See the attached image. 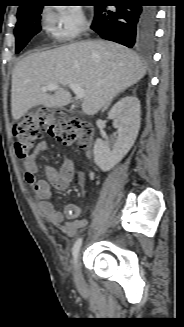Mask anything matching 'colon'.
Masks as SVG:
<instances>
[{"mask_svg":"<svg viewBox=\"0 0 184 327\" xmlns=\"http://www.w3.org/2000/svg\"><path fill=\"white\" fill-rule=\"evenodd\" d=\"M93 126L64 111L40 109L27 113L12 126L14 148L20 159L28 157L34 141L47 132L63 145L86 148L93 135Z\"/></svg>","mask_w":184,"mask_h":327,"instance_id":"obj_1","label":"colon"}]
</instances>
